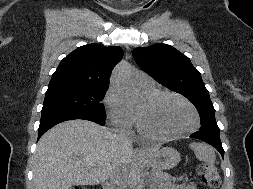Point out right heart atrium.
I'll return each instance as SVG.
<instances>
[{
    "label": "right heart atrium",
    "mask_w": 253,
    "mask_h": 189,
    "mask_svg": "<svg viewBox=\"0 0 253 189\" xmlns=\"http://www.w3.org/2000/svg\"><path fill=\"white\" fill-rule=\"evenodd\" d=\"M104 105L110 123L123 131L130 130L135 124V114L126 106L121 95L110 88L104 97Z\"/></svg>",
    "instance_id": "d8ad5b80"
}]
</instances>
